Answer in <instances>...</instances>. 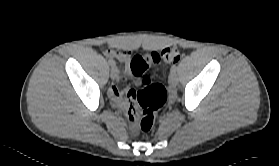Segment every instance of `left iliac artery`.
Here are the masks:
<instances>
[{
  "label": "left iliac artery",
  "instance_id": "1",
  "mask_svg": "<svg viewBox=\"0 0 279 166\" xmlns=\"http://www.w3.org/2000/svg\"><path fill=\"white\" fill-rule=\"evenodd\" d=\"M177 70V66L176 65H173L170 69L171 72H176Z\"/></svg>",
  "mask_w": 279,
  "mask_h": 166
}]
</instances>
